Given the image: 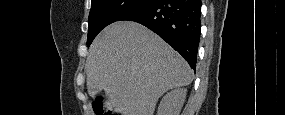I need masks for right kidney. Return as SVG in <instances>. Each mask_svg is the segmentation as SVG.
<instances>
[{"label":"right kidney","mask_w":285,"mask_h":115,"mask_svg":"<svg viewBox=\"0 0 285 115\" xmlns=\"http://www.w3.org/2000/svg\"><path fill=\"white\" fill-rule=\"evenodd\" d=\"M187 89L178 88L168 92L161 100L158 115H179L186 98Z\"/></svg>","instance_id":"right-kidney-1"}]
</instances>
